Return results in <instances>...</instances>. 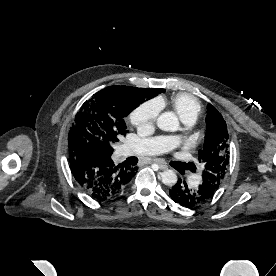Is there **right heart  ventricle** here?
<instances>
[{"instance_id":"e07e8e85","label":"right heart ventricle","mask_w":276,"mask_h":276,"mask_svg":"<svg viewBox=\"0 0 276 276\" xmlns=\"http://www.w3.org/2000/svg\"><path fill=\"white\" fill-rule=\"evenodd\" d=\"M171 106L182 120H195L201 112L199 101L187 94H178L171 98Z\"/></svg>"}]
</instances>
